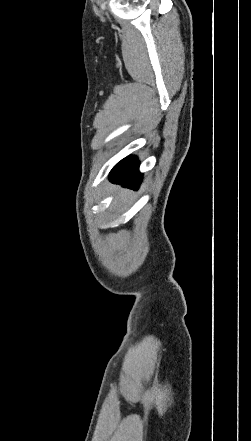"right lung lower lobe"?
<instances>
[{
  "label": "right lung lower lobe",
  "instance_id": "98d812e1",
  "mask_svg": "<svg viewBox=\"0 0 251 441\" xmlns=\"http://www.w3.org/2000/svg\"><path fill=\"white\" fill-rule=\"evenodd\" d=\"M138 168L139 161L135 156L126 157L112 169L110 180L136 190L142 178Z\"/></svg>",
  "mask_w": 251,
  "mask_h": 441
}]
</instances>
